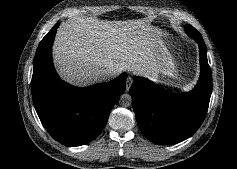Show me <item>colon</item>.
<instances>
[{
	"instance_id": "5ec220e1",
	"label": "colon",
	"mask_w": 237,
	"mask_h": 169,
	"mask_svg": "<svg viewBox=\"0 0 237 169\" xmlns=\"http://www.w3.org/2000/svg\"><path fill=\"white\" fill-rule=\"evenodd\" d=\"M185 52H186V53H189V49H188V48H186V49H185Z\"/></svg>"
}]
</instances>
